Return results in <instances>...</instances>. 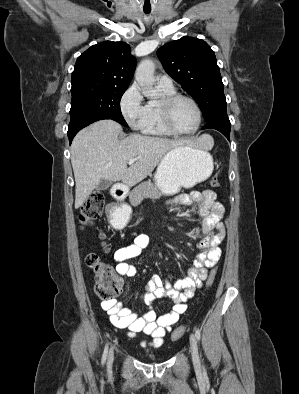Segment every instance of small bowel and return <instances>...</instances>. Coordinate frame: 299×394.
<instances>
[{
    "instance_id": "1",
    "label": "small bowel",
    "mask_w": 299,
    "mask_h": 394,
    "mask_svg": "<svg viewBox=\"0 0 299 394\" xmlns=\"http://www.w3.org/2000/svg\"><path fill=\"white\" fill-rule=\"evenodd\" d=\"M172 203L180 207L195 206L199 216L200 236L198 243L200 250L193 266L188 269L185 278L174 282H164L159 275H153L148 284V293L144 296L145 301L159 298H169L172 310L158 316L153 310H149L142 316L131 312L124 307L119 300L103 301L101 308L108 314L110 322L117 328L127 329L129 336L134 337L138 333L150 335L152 346L160 347L167 332L178 321L180 315L186 311V301L193 296V291L201 286L206 279L208 269L214 267L220 257L219 245L225 237L223 217L224 206L216 200L215 192L205 190L193 191L174 197ZM119 213V207L111 205ZM150 245L149 237L144 234L136 235L131 244L122 246L114 252V259L118 262L116 272L120 276L132 277L136 274V268L127 261L139 257ZM146 342H142L145 346Z\"/></svg>"
}]
</instances>
